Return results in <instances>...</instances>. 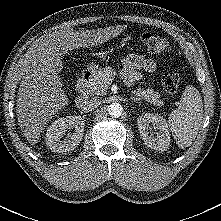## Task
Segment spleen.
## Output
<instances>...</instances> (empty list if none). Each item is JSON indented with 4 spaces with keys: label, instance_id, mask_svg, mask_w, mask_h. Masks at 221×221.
<instances>
[{
    "label": "spleen",
    "instance_id": "obj_1",
    "mask_svg": "<svg viewBox=\"0 0 221 221\" xmlns=\"http://www.w3.org/2000/svg\"><path fill=\"white\" fill-rule=\"evenodd\" d=\"M203 118V103L199 91L187 85L179 107L173 110L168 119L169 128L180 148L190 146L195 140Z\"/></svg>",
    "mask_w": 221,
    "mask_h": 221
}]
</instances>
